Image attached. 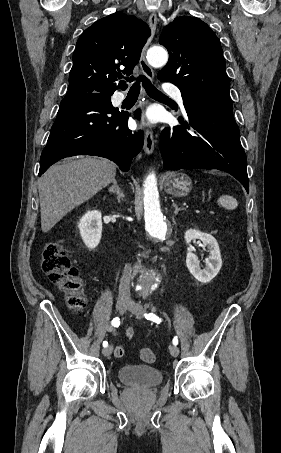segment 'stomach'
Returning a JSON list of instances; mask_svg holds the SVG:
<instances>
[{
    "instance_id": "1",
    "label": "stomach",
    "mask_w": 281,
    "mask_h": 453,
    "mask_svg": "<svg viewBox=\"0 0 281 453\" xmlns=\"http://www.w3.org/2000/svg\"><path fill=\"white\" fill-rule=\"evenodd\" d=\"M163 186H165L168 194H174V196H187L188 192L192 190V180L187 174H174V172H168L164 176Z\"/></svg>"
}]
</instances>
